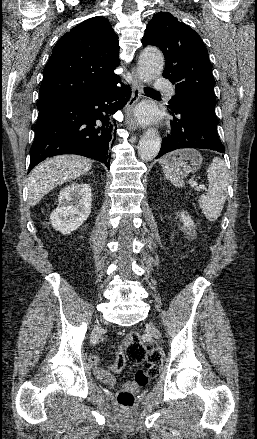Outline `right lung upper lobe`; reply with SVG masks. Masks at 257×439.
<instances>
[{"instance_id": "right-lung-upper-lobe-1", "label": "right lung upper lobe", "mask_w": 257, "mask_h": 439, "mask_svg": "<svg viewBox=\"0 0 257 439\" xmlns=\"http://www.w3.org/2000/svg\"><path fill=\"white\" fill-rule=\"evenodd\" d=\"M118 54V36L106 18H90L72 28L56 43L46 64L38 109L118 79Z\"/></svg>"}]
</instances>
